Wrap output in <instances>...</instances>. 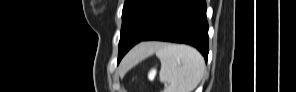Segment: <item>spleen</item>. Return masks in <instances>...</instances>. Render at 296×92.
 Masks as SVG:
<instances>
[{"label":"spleen","mask_w":296,"mask_h":92,"mask_svg":"<svg viewBox=\"0 0 296 92\" xmlns=\"http://www.w3.org/2000/svg\"><path fill=\"white\" fill-rule=\"evenodd\" d=\"M153 52L161 62L159 78L165 83L164 92H192L202 80L205 62L196 49L187 45L150 43L140 58Z\"/></svg>","instance_id":"1"}]
</instances>
